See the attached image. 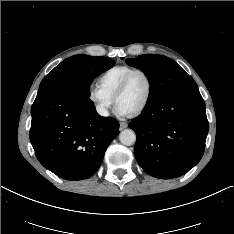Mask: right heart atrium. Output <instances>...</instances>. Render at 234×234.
Returning a JSON list of instances; mask_svg holds the SVG:
<instances>
[{
    "mask_svg": "<svg viewBox=\"0 0 234 234\" xmlns=\"http://www.w3.org/2000/svg\"><path fill=\"white\" fill-rule=\"evenodd\" d=\"M87 98L100 116H109L113 103L112 98L106 95L98 85L92 84L88 87Z\"/></svg>",
    "mask_w": 234,
    "mask_h": 234,
    "instance_id": "d8ad5b80",
    "label": "right heart atrium"
}]
</instances>
